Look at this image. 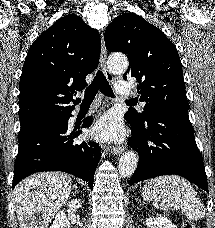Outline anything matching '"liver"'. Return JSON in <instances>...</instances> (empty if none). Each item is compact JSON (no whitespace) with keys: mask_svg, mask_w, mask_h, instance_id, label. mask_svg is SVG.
Instances as JSON below:
<instances>
[{"mask_svg":"<svg viewBox=\"0 0 215 228\" xmlns=\"http://www.w3.org/2000/svg\"><path fill=\"white\" fill-rule=\"evenodd\" d=\"M72 180L62 172H39L17 184L14 204L20 228H49L67 202Z\"/></svg>","mask_w":215,"mask_h":228,"instance_id":"liver-1","label":"liver"}]
</instances>
